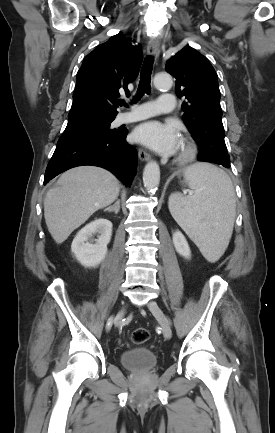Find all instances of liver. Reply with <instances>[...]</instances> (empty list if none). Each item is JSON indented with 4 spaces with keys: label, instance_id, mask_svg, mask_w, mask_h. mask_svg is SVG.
Returning <instances> with one entry per match:
<instances>
[{
    "label": "liver",
    "instance_id": "1",
    "mask_svg": "<svg viewBox=\"0 0 275 433\" xmlns=\"http://www.w3.org/2000/svg\"><path fill=\"white\" fill-rule=\"evenodd\" d=\"M118 179L95 166H80L64 172L44 200L45 222L57 244L99 209L112 204L119 195Z\"/></svg>",
    "mask_w": 275,
    "mask_h": 433
}]
</instances>
